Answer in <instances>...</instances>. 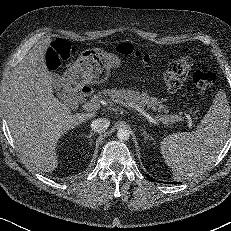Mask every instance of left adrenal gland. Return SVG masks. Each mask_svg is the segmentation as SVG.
<instances>
[{"mask_svg": "<svg viewBox=\"0 0 231 231\" xmlns=\"http://www.w3.org/2000/svg\"><path fill=\"white\" fill-rule=\"evenodd\" d=\"M141 131L143 132V136H144L145 142L147 141L148 138H150V140H154V139L152 138V136H150L149 134H147V132H146L145 129L141 128Z\"/></svg>", "mask_w": 231, "mask_h": 231, "instance_id": "1", "label": "left adrenal gland"}]
</instances>
